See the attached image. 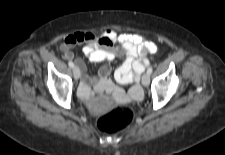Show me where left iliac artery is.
<instances>
[{
  "label": "left iliac artery",
  "mask_w": 225,
  "mask_h": 155,
  "mask_svg": "<svg viewBox=\"0 0 225 155\" xmlns=\"http://www.w3.org/2000/svg\"><path fill=\"white\" fill-rule=\"evenodd\" d=\"M153 71V68L152 67H149L148 70H147V73L150 75Z\"/></svg>",
  "instance_id": "left-iliac-artery-1"
}]
</instances>
